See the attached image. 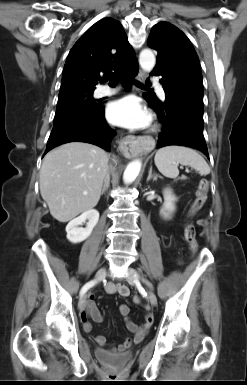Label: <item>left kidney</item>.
Instances as JSON below:
<instances>
[{
  "instance_id": "1",
  "label": "left kidney",
  "mask_w": 247,
  "mask_h": 385,
  "mask_svg": "<svg viewBox=\"0 0 247 385\" xmlns=\"http://www.w3.org/2000/svg\"><path fill=\"white\" fill-rule=\"evenodd\" d=\"M164 203L161 209V214L164 218H170L171 214L175 211L176 197L172 193L171 189H165L163 191Z\"/></svg>"
}]
</instances>
